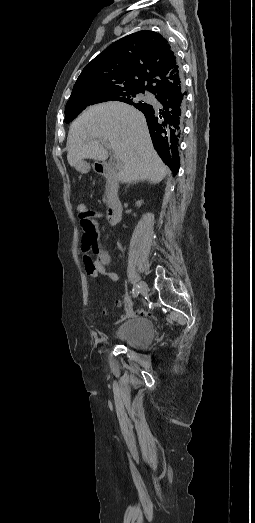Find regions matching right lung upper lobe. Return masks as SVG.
Wrapping results in <instances>:
<instances>
[{
    "instance_id": "cb5924a9",
    "label": "right lung upper lobe",
    "mask_w": 255,
    "mask_h": 523,
    "mask_svg": "<svg viewBox=\"0 0 255 523\" xmlns=\"http://www.w3.org/2000/svg\"><path fill=\"white\" fill-rule=\"evenodd\" d=\"M146 89L155 94L152 103L128 104L144 113L155 149L176 174L187 92L179 62L160 34L139 31L110 45L83 69L66 105Z\"/></svg>"
}]
</instances>
